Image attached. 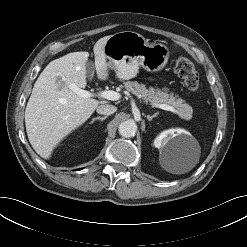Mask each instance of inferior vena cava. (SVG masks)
Wrapping results in <instances>:
<instances>
[{
  "mask_svg": "<svg viewBox=\"0 0 247 247\" xmlns=\"http://www.w3.org/2000/svg\"><path fill=\"white\" fill-rule=\"evenodd\" d=\"M117 108L113 105L102 104L97 107V113L101 115H111L116 112Z\"/></svg>",
  "mask_w": 247,
  "mask_h": 247,
  "instance_id": "1",
  "label": "inferior vena cava"
}]
</instances>
